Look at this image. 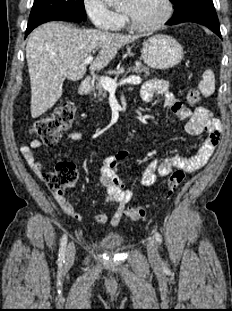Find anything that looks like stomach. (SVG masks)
<instances>
[{"instance_id": "obj_1", "label": "stomach", "mask_w": 232, "mask_h": 311, "mask_svg": "<svg viewBox=\"0 0 232 311\" xmlns=\"http://www.w3.org/2000/svg\"><path fill=\"white\" fill-rule=\"evenodd\" d=\"M142 59L154 69H168L176 66L183 59V48L169 35H155L143 42Z\"/></svg>"}]
</instances>
